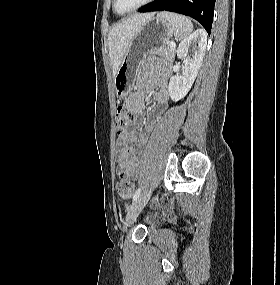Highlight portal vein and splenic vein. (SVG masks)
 <instances>
[{
    "mask_svg": "<svg viewBox=\"0 0 280 285\" xmlns=\"http://www.w3.org/2000/svg\"><path fill=\"white\" fill-rule=\"evenodd\" d=\"M168 45H169L170 47H173V48H175V46H176L175 42H173V41L169 42Z\"/></svg>",
    "mask_w": 280,
    "mask_h": 285,
    "instance_id": "portal-vein-and-splenic-vein-1",
    "label": "portal vein and splenic vein"
}]
</instances>
